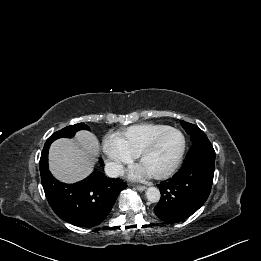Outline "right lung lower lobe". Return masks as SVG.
I'll return each mask as SVG.
<instances>
[{"mask_svg":"<svg viewBox=\"0 0 261 261\" xmlns=\"http://www.w3.org/2000/svg\"><path fill=\"white\" fill-rule=\"evenodd\" d=\"M50 144L46 142L44 145L39 167L42 186L51 208L61 219L76 226L94 227L100 224L127 184L119 178H108L97 170L74 184L59 182L48 168ZM100 163H103L101 159Z\"/></svg>","mask_w":261,"mask_h":261,"instance_id":"98d812e1","label":"right lung lower lobe"}]
</instances>
